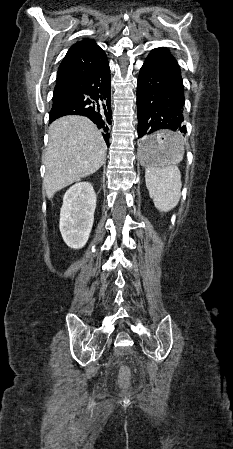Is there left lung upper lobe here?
Instances as JSON below:
<instances>
[{"label":"left lung upper lobe","mask_w":233,"mask_h":449,"mask_svg":"<svg viewBox=\"0 0 233 449\" xmlns=\"http://www.w3.org/2000/svg\"><path fill=\"white\" fill-rule=\"evenodd\" d=\"M157 49H159V50H161V51H163L165 54H167L168 56H170V57H172V58H174L171 54H170V52H169V50L168 49H166V48H157Z\"/></svg>","instance_id":"5c2ea615"}]
</instances>
